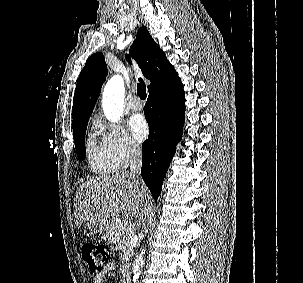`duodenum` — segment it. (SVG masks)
Listing matches in <instances>:
<instances>
[{
	"instance_id": "duodenum-1",
	"label": "duodenum",
	"mask_w": 303,
	"mask_h": 283,
	"mask_svg": "<svg viewBox=\"0 0 303 283\" xmlns=\"http://www.w3.org/2000/svg\"><path fill=\"white\" fill-rule=\"evenodd\" d=\"M122 272H123V275H124L125 279L129 283V280H130V266L128 264H124L123 267H122Z\"/></svg>"
}]
</instances>
